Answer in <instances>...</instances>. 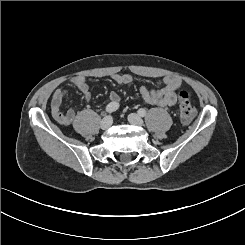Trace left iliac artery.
Here are the masks:
<instances>
[{
  "mask_svg": "<svg viewBox=\"0 0 245 245\" xmlns=\"http://www.w3.org/2000/svg\"><path fill=\"white\" fill-rule=\"evenodd\" d=\"M138 114H139L140 116L144 117V116L146 115V110H145L144 108H140V109L138 110Z\"/></svg>",
  "mask_w": 245,
  "mask_h": 245,
  "instance_id": "1",
  "label": "left iliac artery"
}]
</instances>
